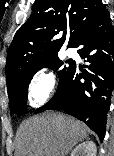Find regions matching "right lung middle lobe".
<instances>
[{
	"instance_id": "obj_1",
	"label": "right lung middle lobe",
	"mask_w": 114,
	"mask_h": 156,
	"mask_svg": "<svg viewBox=\"0 0 114 156\" xmlns=\"http://www.w3.org/2000/svg\"><path fill=\"white\" fill-rule=\"evenodd\" d=\"M70 60L67 61V63ZM63 65V62L58 58V56L52 57L39 66L30 69L16 76L11 84L8 86V96H9V107L13 113L18 115H23L26 112V100H27V90L28 84L32 79L33 75L43 67H51L54 70L59 69ZM74 63H69L68 67L62 68L59 73V86L54 95V97L43 107L39 108L36 112H42L47 109L58 97L61 90L63 89L65 82L70 74L71 69L73 68Z\"/></svg>"
}]
</instances>
